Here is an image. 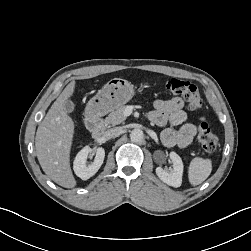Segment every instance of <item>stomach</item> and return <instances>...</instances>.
<instances>
[{"instance_id":"stomach-1","label":"stomach","mask_w":251,"mask_h":251,"mask_svg":"<svg viewBox=\"0 0 251 251\" xmlns=\"http://www.w3.org/2000/svg\"><path fill=\"white\" fill-rule=\"evenodd\" d=\"M135 94L134 86L127 80L114 78L108 81L86 106L89 116H101L126 104Z\"/></svg>"}]
</instances>
